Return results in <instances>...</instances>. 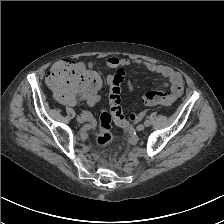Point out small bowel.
<instances>
[{"mask_svg": "<svg viewBox=\"0 0 224 224\" xmlns=\"http://www.w3.org/2000/svg\"><path fill=\"white\" fill-rule=\"evenodd\" d=\"M99 63H102L105 66L113 69H123L130 67L132 65H140L145 67L150 72L160 74L167 80L165 85L170 89L171 101L181 96L183 92L182 76L179 72L175 71L171 67L152 63L142 59H127V58H118L115 56H110L101 62H90L88 64V67L92 68ZM108 80L111 82L112 77H109ZM127 89L129 93L133 92V85L130 81L127 83ZM130 117L133 121L137 119V116L135 114H132Z\"/></svg>", "mask_w": 224, "mask_h": 224, "instance_id": "1", "label": "small bowel"}]
</instances>
